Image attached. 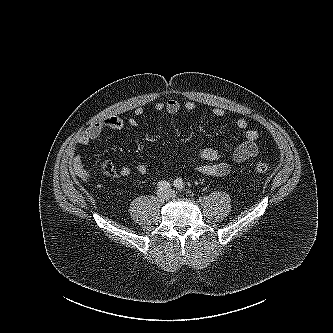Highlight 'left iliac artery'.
<instances>
[{
	"instance_id": "obj_1",
	"label": "left iliac artery",
	"mask_w": 333,
	"mask_h": 333,
	"mask_svg": "<svg viewBox=\"0 0 333 333\" xmlns=\"http://www.w3.org/2000/svg\"><path fill=\"white\" fill-rule=\"evenodd\" d=\"M174 187L176 189H178L179 191H183L184 188H185V184L183 182V180L181 178H177L175 181H174Z\"/></svg>"
}]
</instances>
